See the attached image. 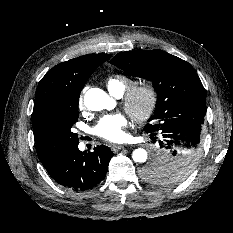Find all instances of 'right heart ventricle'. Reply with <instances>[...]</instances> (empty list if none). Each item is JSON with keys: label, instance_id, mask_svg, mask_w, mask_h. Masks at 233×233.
<instances>
[{"label": "right heart ventricle", "instance_id": "right-heart-ventricle-1", "mask_svg": "<svg viewBox=\"0 0 233 233\" xmlns=\"http://www.w3.org/2000/svg\"><path fill=\"white\" fill-rule=\"evenodd\" d=\"M105 83L112 95L121 96L131 86L132 80L123 74L114 73L105 79Z\"/></svg>", "mask_w": 233, "mask_h": 233}]
</instances>
